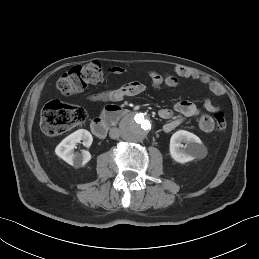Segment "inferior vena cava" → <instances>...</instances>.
<instances>
[{"mask_svg":"<svg viewBox=\"0 0 259 259\" xmlns=\"http://www.w3.org/2000/svg\"><path fill=\"white\" fill-rule=\"evenodd\" d=\"M109 135L112 139H118L121 135V131L118 128H112Z\"/></svg>","mask_w":259,"mask_h":259,"instance_id":"obj_1","label":"inferior vena cava"}]
</instances>
